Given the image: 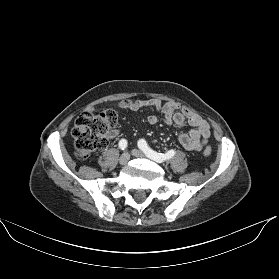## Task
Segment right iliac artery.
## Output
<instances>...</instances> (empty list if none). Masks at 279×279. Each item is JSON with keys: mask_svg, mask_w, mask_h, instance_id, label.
Masks as SVG:
<instances>
[{"mask_svg": "<svg viewBox=\"0 0 279 279\" xmlns=\"http://www.w3.org/2000/svg\"><path fill=\"white\" fill-rule=\"evenodd\" d=\"M127 145H128L127 140L121 139V140L119 141V148H120L121 150H125V149L127 148Z\"/></svg>", "mask_w": 279, "mask_h": 279, "instance_id": "obj_1", "label": "right iliac artery"}]
</instances>
